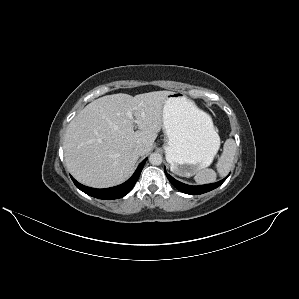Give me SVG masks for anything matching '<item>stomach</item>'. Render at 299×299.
I'll return each mask as SVG.
<instances>
[{
    "label": "stomach",
    "mask_w": 299,
    "mask_h": 299,
    "mask_svg": "<svg viewBox=\"0 0 299 299\" xmlns=\"http://www.w3.org/2000/svg\"><path fill=\"white\" fill-rule=\"evenodd\" d=\"M163 132L166 159L179 176L190 177L209 166L220 147L210 116L180 93L165 99Z\"/></svg>",
    "instance_id": "1"
}]
</instances>
